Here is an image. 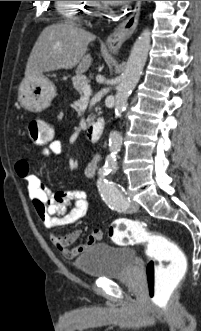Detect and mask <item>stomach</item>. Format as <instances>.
Returning <instances> with one entry per match:
<instances>
[{
  "label": "stomach",
  "mask_w": 201,
  "mask_h": 331,
  "mask_svg": "<svg viewBox=\"0 0 201 331\" xmlns=\"http://www.w3.org/2000/svg\"><path fill=\"white\" fill-rule=\"evenodd\" d=\"M56 96L54 84L44 75L25 78L19 87V100L31 112H41L48 108Z\"/></svg>",
  "instance_id": "obj_1"
}]
</instances>
